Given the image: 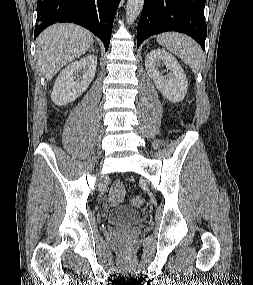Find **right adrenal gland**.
<instances>
[{
    "mask_svg": "<svg viewBox=\"0 0 253 285\" xmlns=\"http://www.w3.org/2000/svg\"><path fill=\"white\" fill-rule=\"evenodd\" d=\"M90 51L94 52V51H95L94 47H91V48H90Z\"/></svg>",
    "mask_w": 253,
    "mask_h": 285,
    "instance_id": "1",
    "label": "right adrenal gland"
}]
</instances>
